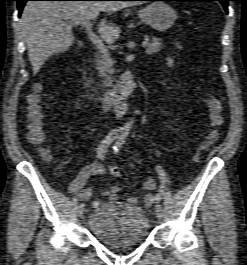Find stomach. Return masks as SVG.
Segmentation results:
<instances>
[{
	"instance_id": "1",
	"label": "stomach",
	"mask_w": 247,
	"mask_h": 265,
	"mask_svg": "<svg viewBox=\"0 0 247 265\" xmlns=\"http://www.w3.org/2000/svg\"><path fill=\"white\" fill-rule=\"evenodd\" d=\"M139 17L153 29L165 31L174 24L177 13L164 2H153L139 11Z\"/></svg>"
}]
</instances>
